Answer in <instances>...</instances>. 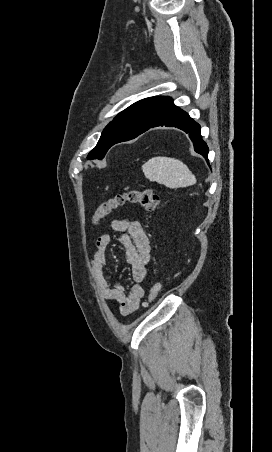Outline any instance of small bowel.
<instances>
[{
  "instance_id": "1",
  "label": "small bowel",
  "mask_w": 272,
  "mask_h": 452,
  "mask_svg": "<svg viewBox=\"0 0 272 452\" xmlns=\"http://www.w3.org/2000/svg\"><path fill=\"white\" fill-rule=\"evenodd\" d=\"M112 228L120 235L124 247V257L131 265L133 285L129 293L123 286L112 285L106 274L107 248L110 235L103 234L96 241V248L91 257V271L95 278L101 297L118 305L122 315L135 312L144 298V282L147 277V264L150 259V242L141 224L128 217L118 218L112 222Z\"/></svg>"
}]
</instances>
